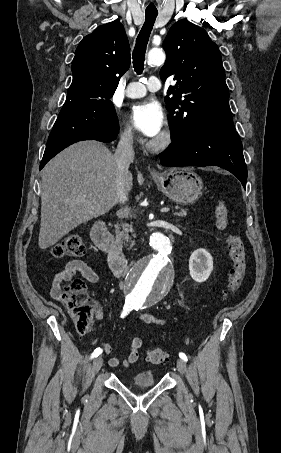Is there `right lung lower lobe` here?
<instances>
[{"label": "right lung lower lobe", "instance_id": "obj_1", "mask_svg": "<svg viewBox=\"0 0 281 453\" xmlns=\"http://www.w3.org/2000/svg\"><path fill=\"white\" fill-rule=\"evenodd\" d=\"M119 132L113 103L65 102L50 133L40 164H45L67 146L82 140L113 141Z\"/></svg>", "mask_w": 281, "mask_h": 453}]
</instances>
